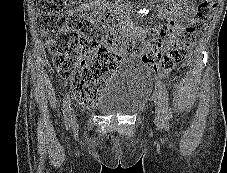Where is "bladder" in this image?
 I'll list each match as a JSON object with an SVG mask.
<instances>
[{"mask_svg": "<svg viewBox=\"0 0 227 173\" xmlns=\"http://www.w3.org/2000/svg\"><path fill=\"white\" fill-rule=\"evenodd\" d=\"M151 89V75L138 60L122 62L103 87L95 108L108 114L132 113L146 101Z\"/></svg>", "mask_w": 227, "mask_h": 173, "instance_id": "bladder-1", "label": "bladder"}]
</instances>
